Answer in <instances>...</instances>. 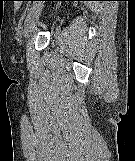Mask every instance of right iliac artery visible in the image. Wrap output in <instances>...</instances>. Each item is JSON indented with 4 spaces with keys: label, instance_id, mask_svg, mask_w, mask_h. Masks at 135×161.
Segmentation results:
<instances>
[{
    "label": "right iliac artery",
    "instance_id": "1",
    "mask_svg": "<svg viewBox=\"0 0 135 161\" xmlns=\"http://www.w3.org/2000/svg\"><path fill=\"white\" fill-rule=\"evenodd\" d=\"M31 9H32V8H31ZM29 11H30V7H29V8H27V11L25 12L24 17H28V16H29Z\"/></svg>",
    "mask_w": 135,
    "mask_h": 161
}]
</instances>
